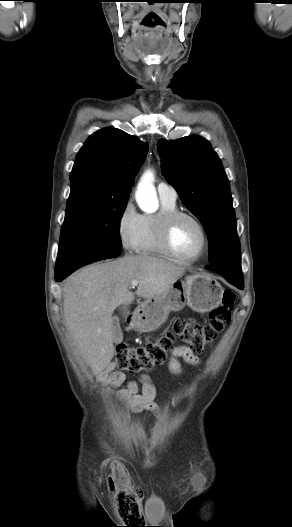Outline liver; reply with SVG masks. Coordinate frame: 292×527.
I'll list each match as a JSON object with an SVG mask.
<instances>
[{
    "label": "liver",
    "mask_w": 292,
    "mask_h": 527,
    "mask_svg": "<svg viewBox=\"0 0 292 527\" xmlns=\"http://www.w3.org/2000/svg\"><path fill=\"white\" fill-rule=\"evenodd\" d=\"M185 267L146 255H125L114 261L89 265L68 277L63 286L67 330L93 374L101 373L114 356L112 314L131 304L130 286L144 299L170 290Z\"/></svg>",
    "instance_id": "1"
}]
</instances>
